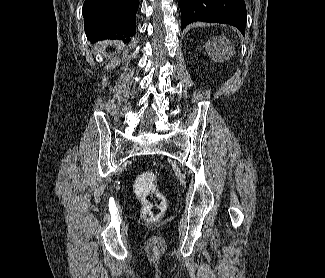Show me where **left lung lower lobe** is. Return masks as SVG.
<instances>
[{"label":"left lung lower lobe","mask_w":325,"mask_h":278,"mask_svg":"<svg viewBox=\"0 0 325 278\" xmlns=\"http://www.w3.org/2000/svg\"><path fill=\"white\" fill-rule=\"evenodd\" d=\"M182 28L195 21L230 24L245 34L244 0H180Z\"/></svg>","instance_id":"0a47b994"}]
</instances>
